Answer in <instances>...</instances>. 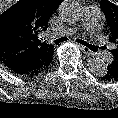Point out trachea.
Here are the masks:
<instances>
[{
  "label": "trachea",
  "instance_id": "1",
  "mask_svg": "<svg viewBox=\"0 0 118 118\" xmlns=\"http://www.w3.org/2000/svg\"><path fill=\"white\" fill-rule=\"evenodd\" d=\"M67 40H68L67 37H61V38H58V39L54 40L53 42H54L56 45H58V44H61L62 42H65V41H67ZM76 41H77L78 43H80L81 45L86 46L87 48H89L90 50H92V51H94V52H96V51L98 50V47H96V46H94V45H92V44H89V43H87L86 41H83V40H81V39H77ZM99 49H101V48H99Z\"/></svg>",
  "mask_w": 118,
  "mask_h": 118
}]
</instances>
